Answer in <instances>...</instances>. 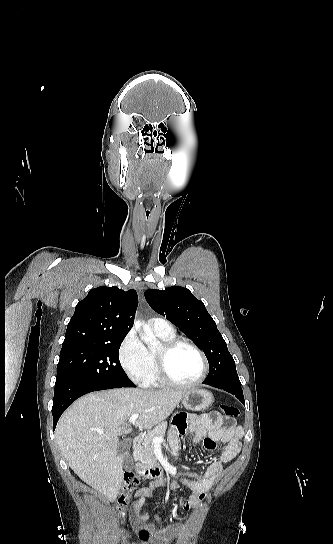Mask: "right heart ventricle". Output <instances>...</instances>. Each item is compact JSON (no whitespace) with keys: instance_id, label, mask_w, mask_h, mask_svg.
<instances>
[{"instance_id":"e07e8e85","label":"right heart ventricle","mask_w":333,"mask_h":544,"mask_svg":"<svg viewBox=\"0 0 333 544\" xmlns=\"http://www.w3.org/2000/svg\"><path fill=\"white\" fill-rule=\"evenodd\" d=\"M155 333L163 342L173 340L176 338V334L174 331L171 333H164V332H159L155 330ZM147 357H148V369H147V373L144 378V381L142 382V385L147 388H158V387L164 386L165 384L160 380L157 373L156 361H155V350L153 348L147 349Z\"/></svg>"}]
</instances>
